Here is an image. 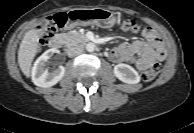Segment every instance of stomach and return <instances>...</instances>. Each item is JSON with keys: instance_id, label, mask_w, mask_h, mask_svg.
Returning a JSON list of instances; mask_svg holds the SVG:
<instances>
[{"instance_id": "0dacf381", "label": "stomach", "mask_w": 194, "mask_h": 133, "mask_svg": "<svg viewBox=\"0 0 194 133\" xmlns=\"http://www.w3.org/2000/svg\"><path fill=\"white\" fill-rule=\"evenodd\" d=\"M116 22L114 13L105 9H73L69 12L68 27L96 25L110 28Z\"/></svg>"}]
</instances>
